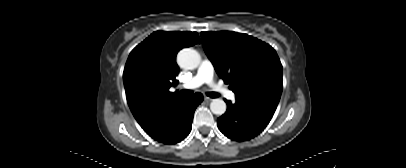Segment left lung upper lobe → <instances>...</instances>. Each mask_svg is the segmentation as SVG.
I'll list each match as a JSON object with an SVG mask.
<instances>
[{
  "label": "left lung upper lobe",
  "instance_id": "1",
  "mask_svg": "<svg viewBox=\"0 0 406 168\" xmlns=\"http://www.w3.org/2000/svg\"><path fill=\"white\" fill-rule=\"evenodd\" d=\"M207 57L237 99L276 108L282 93V65L268 44L230 31L202 32Z\"/></svg>",
  "mask_w": 406,
  "mask_h": 168
}]
</instances>
